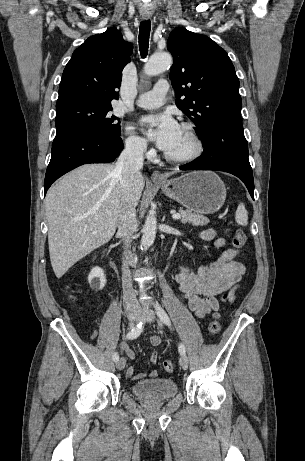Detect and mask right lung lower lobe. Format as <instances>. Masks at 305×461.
<instances>
[{
    "instance_id": "98d812e1",
    "label": "right lung lower lobe",
    "mask_w": 305,
    "mask_h": 461,
    "mask_svg": "<svg viewBox=\"0 0 305 461\" xmlns=\"http://www.w3.org/2000/svg\"><path fill=\"white\" fill-rule=\"evenodd\" d=\"M123 147L120 137L79 130L56 133L45 175L44 193L59 177L80 165L114 161Z\"/></svg>"
}]
</instances>
